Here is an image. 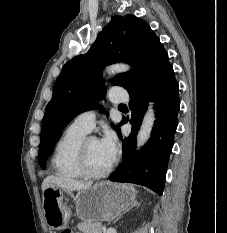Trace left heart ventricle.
Returning a JSON list of instances; mask_svg holds the SVG:
<instances>
[{
	"label": "left heart ventricle",
	"instance_id": "obj_1",
	"mask_svg": "<svg viewBox=\"0 0 227 233\" xmlns=\"http://www.w3.org/2000/svg\"><path fill=\"white\" fill-rule=\"evenodd\" d=\"M87 151L89 165L95 171L104 170L112 162V159L103 151L96 139L89 140Z\"/></svg>",
	"mask_w": 227,
	"mask_h": 233
}]
</instances>
